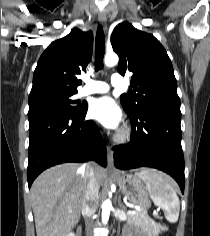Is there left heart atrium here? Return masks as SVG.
Returning a JSON list of instances; mask_svg holds the SVG:
<instances>
[{
  "label": "left heart atrium",
  "instance_id": "left-heart-atrium-1",
  "mask_svg": "<svg viewBox=\"0 0 210 236\" xmlns=\"http://www.w3.org/2000/svg\"><path fill=\"white\" fill-rule=\"evenodd\" d=\"M89 115L109 129L119 128L122 122V113L116 102L110 97H103L94 101Z\"/></svg>",
  "mask_w": 210,
  "mask_h": 236
}]
</instances>
